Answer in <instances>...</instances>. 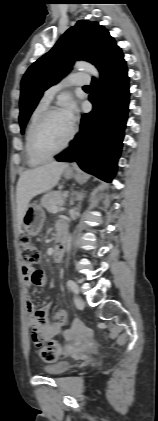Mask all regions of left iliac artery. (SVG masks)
Returning a JSON list of instances; mask_svg holds the SVG:
<instances>
[{
	"label": "left iliac artery",
	"mask_w": 158,
	"mask_h": 421,
	"mask_svg": "<svg viewBox=\"0 0 158 421\" xmlns=\"http://www.w3.org/2000/svg\"><path fill=\"white\" fill-rule=\"evenodd\" d=\"M67 285H68V287L70 288V290L72 291V292H74L75 294H77L78 293V286H77V284L73 281V280H68L67 281Z\"/></svg>",
	"instance_id": "44dca946"
}]
</instances>
